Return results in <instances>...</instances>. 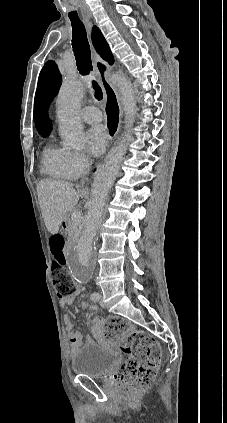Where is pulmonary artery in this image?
<instances>
[{
  "instance_id": "1",
  "label": "pulmonary artery",
  "mask_w": 227,
  "mask_h": 423,
  "mask_svg": "<svg viewBox=\"0 0 227 423\" xmlns=\"http://www.w3.org/2000/svg\"><path fill=\"white\" fill-rule=\"evenodd\" d=\"M80 116L84 122L90 125H96L102 121V113L95 106H88L83 108L81 110Z\"/></svg>"
}]
</instances>
